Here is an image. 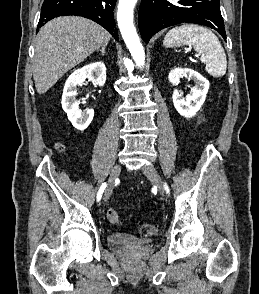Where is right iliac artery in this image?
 <instances>
[{
	"label": "right iliac artery",
	"mask_w": 259,
	"mask_h": 294,
	"mask_svg": "<svg viewBox=\"0 0 259 294\" xmlns=\"http://www.w3.org/2000/svg\"><path fill=\"white\" fill-rule=\"evenodd\" d=\"M105 188H106V183H103L97 193V201L101 200V197H102V194H103Z\"/></svg>",
	"instance_id": "obj_1"
}]
</instances>
